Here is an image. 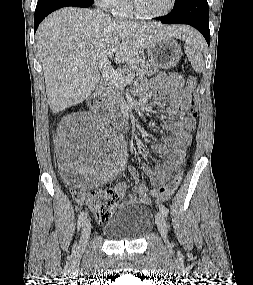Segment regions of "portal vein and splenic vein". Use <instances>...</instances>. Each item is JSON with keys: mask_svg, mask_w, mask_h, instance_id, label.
I'll list each match as a JSON object with an SVG mask.
<instances>
[{"mask_svg": "<svg viewBox=\"0 0 253 285\" xmlns=\"http://www.w3.org/2000/svg\"><path fill=\"white\" fill-rule=\"evenodd\" d=\"M95 59L98 61V65L102 69L106 78H108L113 84L123 85L133 81L135 75L130 73L123 77L121 73L113 69L108 61L107 55H96Z\"/></svg>", "mask_w": 253, "mask_h": 285, "instance_id": "obj_1", "label": "portal vein and splenic vein"}]
</instances>
